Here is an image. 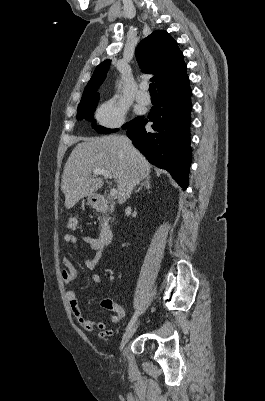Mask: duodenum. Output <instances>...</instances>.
<instances>
[{"instance_id": "410a0bca", "label": "duodenum", "mask_w": 265, "mask_h": 401, "mask_svg": "<svg viewBox=\"0 0 265 401\" xmlns=\"http://www.w3.org/2000/svg\"><path fill=\"white\" fill-rule=\"evenodd\" d=\"M94 208L97 211L105 212L108 209V203L105 199L97 197L94 200ZM114 238V233L111 227L103 225L100 229L99 239L104 246L111 244Z\"/></svg>"}]
</instances>
